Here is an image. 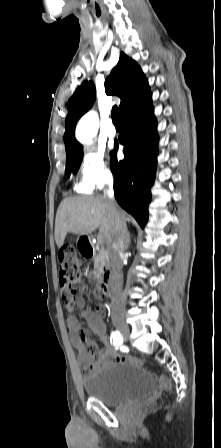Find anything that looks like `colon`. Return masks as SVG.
I'll return each instance as SVG.
<instances>
[{"label":"colon","mask_w":221,"mask_h":448,"mask_svg":"<svg viewBox=\"0 0 221 448\" xmlns=\"http://www.w3.org/2000/svg\"><path fill=\"white\" fill-rule=\"evenodd\" d=\"M59 279L62 291L77 293L82 289L83 270L79 259L77 258L75 248L72 246H64L59 253ZM122 361L131 365H142L143 361L133 357H123ZM163 387L169 389L170 381L162 376L160 379Z\"/></svg>","instance_id":"colon-1"}]
</instances>
